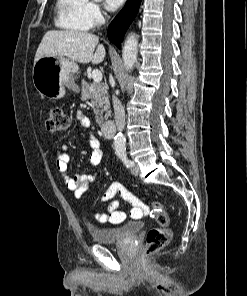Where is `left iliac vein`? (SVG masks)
<instances>
[{
  "instance_id": "1",
  "label": "left iliac vein",
  "mask_w": 247,
  "mask_h": 296,
  "mask_svg": "<svg viewBox=\"0 0 247 296\" xmlns=\"http://www.w3.org/2000/svg\"><path fill=\"white\" fill-rule=\"evenodd\" d=\"M131 173H132L133 175H138V173H139V167H138L137 165L133 166V167L131 168Z\"/></svg>"
}]
</instances>
